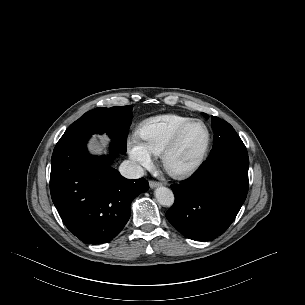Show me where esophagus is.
I'll return each instance as SVG.
<instances>
[{
    "instance_id": "esophagus-1",
    "label": "esophagus",
    "mask_w": 305,
    "mask_h": 305,
    "mask_svg": "<svg viewBox=\"0 0 305 305\" xmlns=\"http://www.w3.org/2000/svg\"><path fill=\"white\" fill-rule=\"evenodd\" d=\"M161 185H162V183H160V182H158V181L151 180V181L149 182L150 188H156V187H159V186H161Z\"/></svg>"
}]
</instances>
